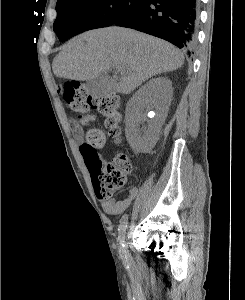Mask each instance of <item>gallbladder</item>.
Here are the masks:
<instances>
[{"instance_id": "gallbladder-1", "label": "gallbladder", "mask_w": 245, "mask_h": 300, "mask_svg": "<svg viewBox=\"0 0 245 300\" xmlns=\"http://www.w3.org/2000/svg\"><path fill=\"white\" fill-rule=\"evenodd\" d=\"M116 81L107 74H101L93 80L86 82V91L94 98L100 99L114 90Z\"/></svg>"}]
</instances>
